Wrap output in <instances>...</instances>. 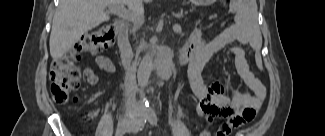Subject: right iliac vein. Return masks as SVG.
Masks as SVG:
<instances>
[{"mask_svg":"<svg viewBox=\"0 0 325 136\" xmlns=\"http://www.w3.org/2000/svg\"><path fill=\"white\" fill-rule=\"evenodd\" d=\"M137 123L136 120L134 121H124L118 128L116 132V136H123L127 133L135 124Z\"/></svg>","mask_w":325,"mask_h":136,"instance_id":"1","label":"right iliac vein"}]
</instances>
